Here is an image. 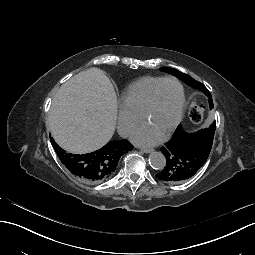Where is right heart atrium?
Masks as SVG:
<instances>
[{
    "instance_id": "1",
    "label": "right heart atrium",
    "mask_w": 255,
    "mask_h": 255,
    "mask_svg": "<svg viewBox=\"0 0 255 255\" xmlns=\"http://www.w3.org/2000/svg\"><path fill=\"white\" fill-rule=\"evenodd\" d=\"M139 123V117L123 109L117 108V129L122 137H128L134 131Z\"/></svg>"
}]
</instances>
